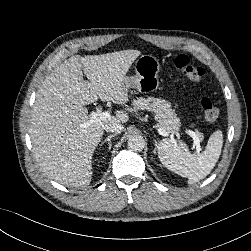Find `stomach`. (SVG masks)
Returning <instances> with one entry per match:
<instances>
[{"instance_id":"0dacf381","label":"stomach","mask_w":251,"mask_h":251,"mask_svg":"<svg viewBox=\"0 0 251 251\" xmlns=\"http://www.w3.org/2000/svg\"><path fill=\"white\" fill-rule=\"evenodd\" d=\"M134 76H125L124 88L129 91L136 89L140 93H149L157 90L159 85L158 73L160 65L153 55H142L135 62Z\"/></svg>"}]
</instances>
